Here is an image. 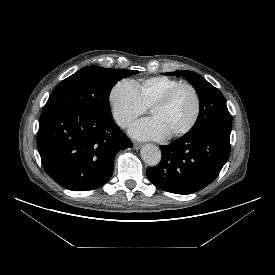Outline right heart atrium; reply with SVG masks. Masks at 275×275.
<instances>
[{"mask_svg": "<svg viewBox=\"0 0 275 275\" xmlns=\"http://www.w3.org/2000/svg\"><path fill=\"white\" fill-rule=\"evenodd\" d=\"M109 104L115 122L121 128L129 127L139 116L146 112L136 85L133 81H118L109 93Z\"/></svg>", "mask_w": 275, "mask_h": 275, "instance_id": "right-heart-atrium-1", "label": "right heart atrium"}]
</instances>
